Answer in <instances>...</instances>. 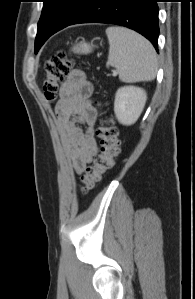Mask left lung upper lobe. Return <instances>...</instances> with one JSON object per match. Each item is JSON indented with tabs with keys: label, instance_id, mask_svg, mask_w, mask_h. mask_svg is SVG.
Returning <instances> with one entry per match:
<instances>
[{
	"label": "left lung upper lobe",
	"instance_id": "5c2ea615",
	"mask_svg": "<svg viewBox=\"0 0 195 299\" xmlns=\"http://www.w3.org/2000/svg\"><path fill=\"white\" fill-rule=\"evenodd\" d=\"M44 6L35 39V52L57 31L71 25L89 0H43Z\"/></svg>",
	"mask_w": 195,
	"mask_h": 299
}]
</instances>
